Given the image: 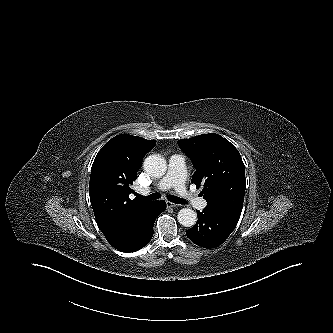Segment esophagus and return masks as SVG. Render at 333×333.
<instances>
[{"label":"esophagus","mask_w":333,"mask_h":333,"mask_svg":"<svg viewBox=\"0 0 333 333\" xmlns=\"http://www.w3.org/2000/svg\"><path fill=\"white\" fill-rule=\"evenodd\" d=\"M166 205H167V207H169V208L178 206L177 204L172 203V202H170V201H166Z\"/></svg>","instance_id":"34e87169"}]
</instances>
